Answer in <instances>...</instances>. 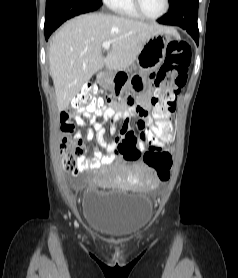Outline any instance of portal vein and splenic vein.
Masks as SVG:
<instances>
[{
  "instance_id": "18ae733b",
  "label": "portal vein and splenic vein",
  "mask_w": 238,
  "mask_h": 278,
  "mask_svg": "<svg viewBox=\"0 0 238 278\" xmlns=\"http://www.w3.org/2000/svg\"><path fill=\"white\" fill-rule=\"evenodd\" d=\"M111 43H112L111 41L103 42V43H102V47H103L105 50H109Z\"/></svg>"
}]
</instances>
